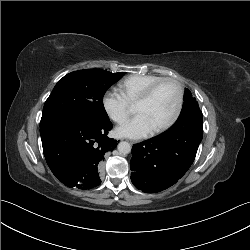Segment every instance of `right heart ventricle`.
Instances as JSON below:
<instances>
[{
  "instance_id": "e07e8e85",
  "label": "right heart ventricle",
  "mask_w": 250,
  "mask_h": 250,
  "mask_svg": "<svg viewBox=\"0 0 250 250\" xmlns=\"http://www.w3.org/2000/svg\"><path fill=\"white\" fill-rule=\"evenodd\" d=\"M161 78L153 74L131 75L119 83V89L128 103L134 104L151 84Z\"/></svg>"
}]
</instances>
